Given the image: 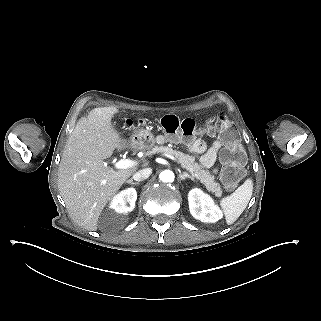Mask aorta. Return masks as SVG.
Instances as JSON below:
<instances>
[{"label": "aorta", "instance_id": "obj_1", "mask_svg": "<svg viewBox=\"0 0 321 321\" xmlns=\"http://www.w3.org/2000/svg\"><path fill=\"white\" fill-rule=\"evenodd\" d=\"M159 179L162 182L171 183L174 181V173L170 170H164L160 173Z\"/></svg>", "mask_w": 321, "mask_h": 321}]
</instances>
